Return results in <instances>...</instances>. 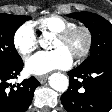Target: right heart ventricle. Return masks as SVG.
Returning a JSON list of instances; mask_svg holds the SVG:
<instances>
[{
    "instance_id": "e07e8e85",
    "label": "right heart ventricle",
    "mask_w": 112,
    "mask_h": 112,
    "mask_svg": "<svg viewBox=\"0 0 112 112\" xmlns=\"http://www.w3.org/2000/svg\"><path fill=\"white\" fill-rule=\"evenodd\" d=\"M35 25L43 31L57 34L74 26L75 23L62 16L52 14L38 19Z\"/></svg>"
}]
</instances>
